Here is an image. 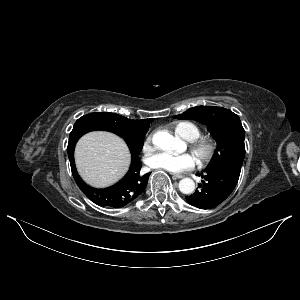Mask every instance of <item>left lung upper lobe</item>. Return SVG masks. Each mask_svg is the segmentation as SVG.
I'll return each instance as SVG.
<instances>
[{"label":"left lung upper lobe","mask_w":300,"mask_h":300,"mask_svg":"<svg viewBox=\"0 0 300 300\" xmlns=\"http://www.w3.org/2000/svg\"><path fill=\"white\" fill-rule=\"evenodd\" d=\"M178 119H193L207 125L217 141V148L207 169L223 163L242 166L245 156V130L239 117L231 110L215 106H197L175 115Z\"/></svg>","instance_id":"1"}]
</instances>
